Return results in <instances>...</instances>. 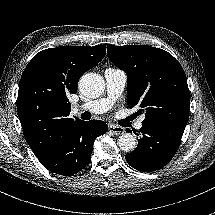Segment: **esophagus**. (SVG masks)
I'll list each match as a JSON object with an SVG mask.
<instances>
[{"label": "esophagus", "mask_w": 215, "mask_h": 215, "mask_svg": "<svg viewBox=\"0 0 215 215\" xmlns=\"http://www.w3.org/2000/svg\"><path fill=\"white\" fill-rule=\"evenodd\" d=\"M109 131L112 132L114 135H122L125 133V128L121 126H116L113 124H110L108 127Z\"/></svg>", "instance_id": "1"}]
</instances>
